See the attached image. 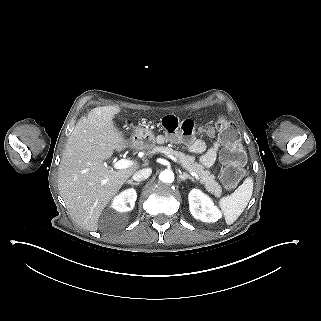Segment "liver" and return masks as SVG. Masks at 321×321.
<instances>
[{
	"label": "liver",
	"instance_id": "6515ba94",
	"mask_svg": "<svg viewBox=\"0 0 321 321\" xmlns=\"http://www.w3.org/2000/svg\"><path fill=\"white\" fill-rule=\"evenodd\" d=\"M123 110L119 105L91 109L76 123L64 148L58 174V189L72 219L82 228L96 232L102 211L122 188L138 164L112 171L104 161L114 151L129 147L116 123Z\"/></svg>",
	"mask_w": 321,
	"mask_h": 321
}]
</instances>
